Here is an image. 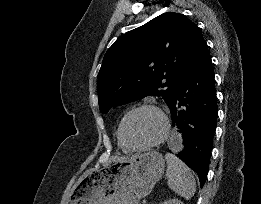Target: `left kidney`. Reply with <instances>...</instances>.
Here are the masks:
<instances>
[{
  "label": "left kidney",
  "instance_id": "5707ae66",
  "mask_svg": "<svg viewBox=\"0 0 261 204\" xmlns=\"http://www.w3.org/2000/svg\"><path fill=\"white\" fill-rule=\"evenodd\" d=\"M160 204H184V203L179 199H169V200L164 201Z\"/></svg>",
  "mask_w": 261,
  "mask_h": 204
}]
</instances>
